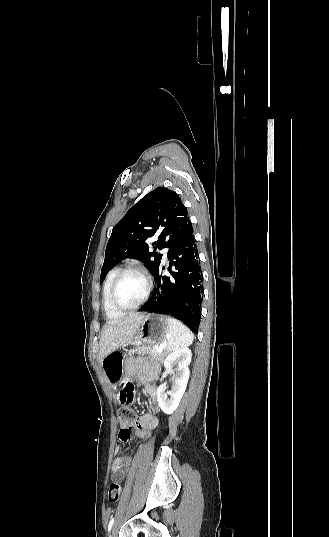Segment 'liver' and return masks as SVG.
<instances>
[{"label":"liver","instance_id":"1","mask_svg":"<svg viewBox=\"0 0 329 537\" xmlns=\"http://www.w3.org/2000/svg\"><path fill=\"white\" fill-rule=\"evenodd\" d=\"M142 319L143 315L136 313L122 319L107 322L100 336L99 363H102L108 354L132 339Z\"/></svg>","mask_w":329,"mask_h":537}]
</instances>
